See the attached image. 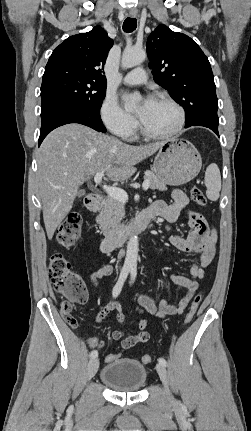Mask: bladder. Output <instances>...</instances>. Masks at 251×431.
Here are the masks:
<instances>
[{"label": "bladder", "mask_w": 251, "mask_h": 431, "mask_svg": "<svg viewBox=\"0 0 251 431\" xmlns=\"http://www.w3.org/2000/svg\"><path fill=\"white\" fill-rule=\"evenodd\" d=\"M100 379L115 391L136 392L144 387L147 370L137 360L120 358L103 367Z\"/></svg>", "instance_id": "31cf9c89"}]
</instances>
